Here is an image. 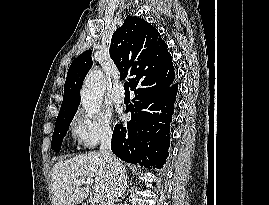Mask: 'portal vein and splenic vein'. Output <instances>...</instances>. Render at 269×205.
Returning a JSON list of instances; mask_svg holds the SVG:
<instances>
[{"mask_svg": "<svg viewBox=\"0 0 269 205\" xmlns=\"http://www.w3.org/2000/svg\"><path fill=\"white\" fill-rule=\"evenodd\" d=\"M94 180L93 178H83V179H78L74 181V184L80 186L81 184H93ZM102 200V194L101 193H95L93 196V201L95 203H100Z\"/></svg>", "mask_w": 269, "mask_h": 205, "instance_id": "18ae733b", "label": "portal vein and splenic vein"}]
</instances>
